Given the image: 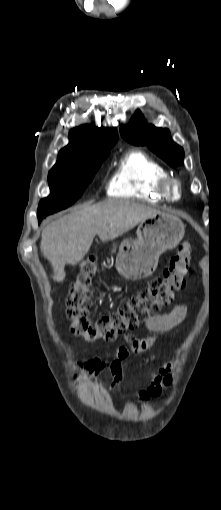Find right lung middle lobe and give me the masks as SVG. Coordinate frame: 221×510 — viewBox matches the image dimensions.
<instances>
[{"label":"right lung middle lobe","mask_w":221,"mask_h":510,"mask_svg":"<svg viewBox=\"0 0 221 510\" xmlns=\"http://www.w3.org/2000/svg\"><path fill=\"white\" fill-rule=\"evenodd\" d=\"M109 153L57 162L48 174L50 195L40 201L38 218L65 209L79 199Z\"/></svg>","instance_id":"obj_1"}]
</instances>
